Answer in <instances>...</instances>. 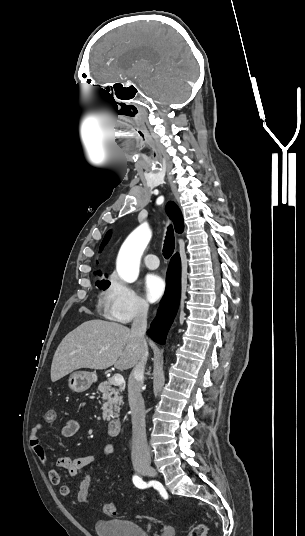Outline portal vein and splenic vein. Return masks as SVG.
<instances>
[{"mask_svg": "<svg viewBox=\"0 0 305 536\" xmlns=\"http://www.w3.org/2000/svg\"><path fill=\"white\" fill-rule=\"evenodd\" d=\"M103 350H106V348H103ZM111 380L112 384H115V386H121V384L124 382V378L121 376V374H115Z\"/></svg>", "mask_w": 305, "mask_h": 536, "instance_id": "obj_1", "label": "portal vein and splenic vein"}]
</instances>
